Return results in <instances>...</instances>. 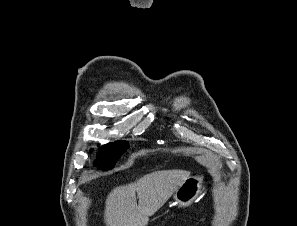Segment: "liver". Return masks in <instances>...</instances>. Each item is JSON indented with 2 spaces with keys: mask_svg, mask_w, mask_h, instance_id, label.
<instances>
[{
  "mask_svg": "<svg viewBox=\"0 0 297 226\" xmlns=\"http://www.w3.org/2000/svg\"><path fill=\"white\" fill-rule=\"evenodd\" d=\"M189 176L190 172L185 170L155 171L134 183L116 187L106 200L105 225L146 226L149 217L168 201Z\"/></svg>",
  "mask_w": 297,
  "mask_h": 226,
  "instance_id": "1",
  "label": "liver"
}]
</instances>
